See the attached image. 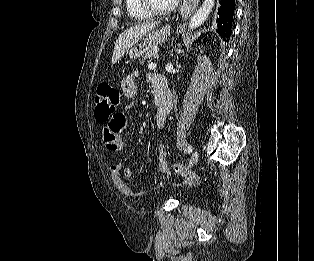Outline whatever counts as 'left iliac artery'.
<instances>
[{
  "instance_id": "left-iliac-artery-1",
  "label": "left iliac artery",
  "mask_w": 314,
  "mask_h": 261,
  "mask_svg": "<svg viewBox=\"0 0 314 261\" xmlns=\"http://www.w3.org/2000/svg\"><path fill=\"white\" fill-rule=\"evenodd\" d=\"M192 151H193V147L190 144H188L187 152L190 154V153H192Z\"/></svg>"
}]
</instances>
